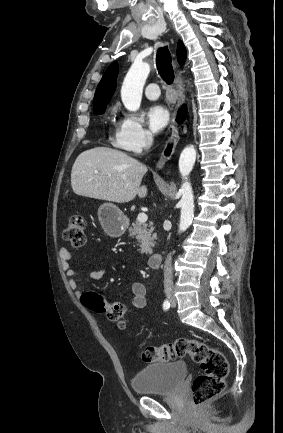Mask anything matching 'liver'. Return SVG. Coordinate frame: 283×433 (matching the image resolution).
I'll return each mask as SVG.
<instances>
[{
    "mask_svg": "<svg viewBox=\"0 0 283 433\" xmlns=\"http://www.w3.org/2000/svg\"><path fill=\"white\" fill-rule=\"evenodd\" d=\"M147 170L145 164L121 150L96 146L77 156L71 170V186L81 196L129 202L136 194L140 198L147 196V186H140Z\"/></svg>",
    "mask_w": 283,
    "mask_h": 433,
    "instance_id": "6515ba94",
    "label": "liver"
}]
</instances>
